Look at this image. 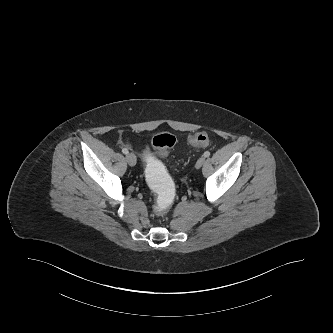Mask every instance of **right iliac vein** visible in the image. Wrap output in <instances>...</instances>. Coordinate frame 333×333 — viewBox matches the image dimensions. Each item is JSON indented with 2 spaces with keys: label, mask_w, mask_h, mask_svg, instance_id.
<instances>
[{
  "label": "right iliac vein",
  "mask_w": 333,
  "mask_h": 333,
  "mask_svg": "<svg viewBox=\"0 0 333 333\" xmlns=\"http://www.w3.org/2000/svg\"><path fill=\"white\" fill-rule=\"evenodd\" d=\"M126 161L128 162V164L130 166H135L136 162H137V159H136V156L133 153H129L126 156Z\"/></svg>",
  "instance_id": "63e3f726"
}]
</instances>
